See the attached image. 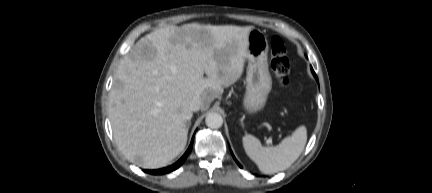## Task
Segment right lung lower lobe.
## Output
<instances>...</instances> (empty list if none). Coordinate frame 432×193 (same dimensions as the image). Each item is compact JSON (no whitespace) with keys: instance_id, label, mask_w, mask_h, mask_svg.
I'll return each instance as SVG.
<instances>
[{"instance_id":"1","label":"right lung lower lobe","mask_w":432,"mask_h":193,"mask_svg":"<svg viewBox=\"0 0 432 193\" xmlns=\"http://www.w3.org/2000/svg\"><path fill=\"white\" fill-rule=\"evenodd\" d=\"M192 145H193V139L191 141V144L189 146V148L187 149V151L185 152V154L173 165L169 166V167H165L162 169H158V170H144L145 172L149 173V174H165L168 172H171L177 168H179L182 163L185 161V159L187 158V156L189 155L191 149H192Z\"/></svg>"}]
</instances>
